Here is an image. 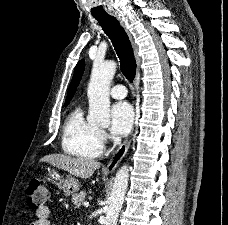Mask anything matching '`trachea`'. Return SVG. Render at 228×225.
Masks as SVG:
<instances>
[{
	"label": "trachea",
	"mask_w": 228,
	"mask_h": 225,
	"mask_svg": "<svg viewBox=\"0 0 228 225\" xmlns=\"http://www.w3.org/2000/svg\"><path fill=\"white\" fill-rule=\"evenodd\" d=\"M98 21L112 41L120 60L121 72L127 80L133 82L136 74V60L127 33L115 17L102 18Z\"/></svg>",
	"instance_id": "trachea-1"
}]
</instances>
